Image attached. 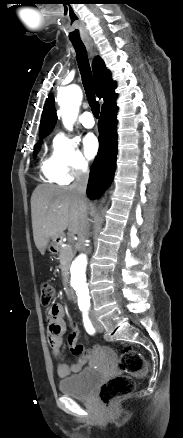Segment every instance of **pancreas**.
<instances>
[{
	"label": "pancreas",
	"instance_id": "1",
	"mask_svg": "<svg viewBox=\"0 0 183 438\" xmlns=\"http://www.w3.org/2000/svg\"><path fill=\"white\" fill-rule=\"evenodd\" d=\"M73 257L74 249L70 244L59 250L60 268L63 274L68 270Z\"/></svg>",
	"mask_w": 183,
	"mask_h": 438
}]
</instances>
